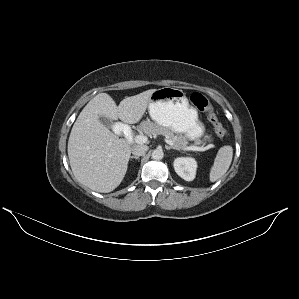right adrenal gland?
<instances>
[{
  "instance_id": "1",
  "label": "right adrenal gland",
  "mask_w": 299,
  "mask_h": 299,
  "mask_svg": "<svg viewBox=\"0 0 299 299\" xmlns=\"http://www.w3.org/2000/svg\"><path fill=\"white\" fill-rule=\"evenodd\" d=\"M130 159H131V160H132V159H139V156H131Z\"/></svg>"
}]
</instances>
